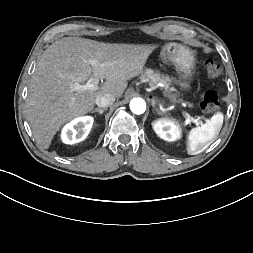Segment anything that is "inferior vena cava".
Wrapping results in <instances>:
<instances>
[{
    "instance_id": "inferior-vena-cava-1",
    "label": "inferior vena cava",
    "mask_w": 253,
    "mask_h": 253,
    "mask_svg": "<svg viewBox=\"0 0 253 253\" xmlns=\"http://www.w3.org/2000/svg\"><path fill=\"white\" fill-rule=\"evenodd\" d=\"M115 101V96L109 93L99 95L95 99V103L99 107H108Z\"/></svg>"
}]
</instances>
